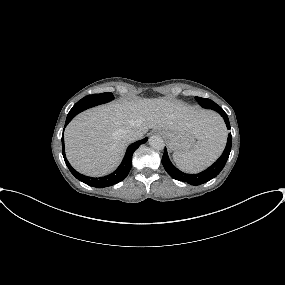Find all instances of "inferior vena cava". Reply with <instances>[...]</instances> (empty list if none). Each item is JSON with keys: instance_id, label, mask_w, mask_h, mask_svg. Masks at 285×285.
I'll return each instance as SVG.
<instances>
[{"instance_id": "1", "label": "inferior vena cava", "mask_w": 285, "mask_h": 285, "mask_svg": "<svg viewBox=\"0 0 285 285\" xmlns=\"http://www.w3.org/2000/svg\"><path fill=\"white\" fill-rule=\"evenodd\" d=\"M142 136H143L142 133L138 131H134V130H129L124 133V139L127 142H133V141L139 140L142 138Z\"/></svg>"}]
</instances>
